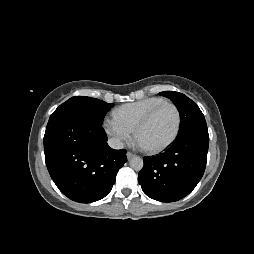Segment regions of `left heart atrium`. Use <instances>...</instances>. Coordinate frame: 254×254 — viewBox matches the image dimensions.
<instances>
[{"instance_id": "left-heart-atrium-1", "label": "left heart atrium", "mask_w": 254, "mask_h": 254, "mask_svg": "<svg viewBox=\"0 0 254 254\" xmlns=\"http://www.w3.org/2000/svg\"><path fill=\"white\" fill-rule=\"evenodd\" d=\"M137 141H138V144L144 146L143 143L141 142V140L138 139Z\"/></svg>"}]
</instances>
